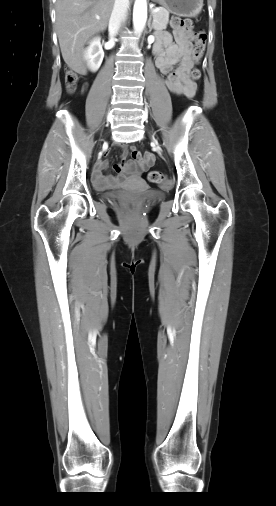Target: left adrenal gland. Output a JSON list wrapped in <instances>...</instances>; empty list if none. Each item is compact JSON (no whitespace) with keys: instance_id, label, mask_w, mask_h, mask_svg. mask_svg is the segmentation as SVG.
Listing matches in <instances>:
<instances>
[{"instance_id":"obj_1","label":"left adrenal gland","mask_w":276,"mask_h":506,"mask_svg":"<svg viewBox=\"0 0 276 506\" xmlns=\"http://www.w3.org/2000/svg\"><path fill=\"white\" fill-rule=\"evenodd\" d=\"M151 20H152V14L150 15V17H149V21H148L149 33H151V31H152V24H151Z\"/></svg>"}]
</instances>
